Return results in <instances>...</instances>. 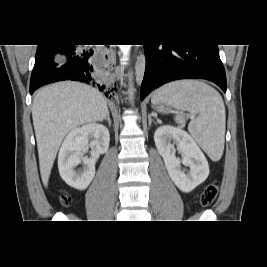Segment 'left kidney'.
Instances as JSON below:
<instances>
[{"label":"left kidney","instance_id":"obj_1","mask_svg":"<svg viewBox=\"0 0 267 267\" xmlns=\"http://www.w3.org/2000/svg\"><path fill=\"white\" fill-rule=\"evenodd\" d=\"M154 141L170 178L181 191L191 192L206 180L209 175L208 161L186 131L172 126H161L155 131ZM175 145L181 151L182 159L176 157ZM181 163L190 168L187 173L182 170Z\"/></svg>","mask_w":267,"mask_h":267}]
</instances>
